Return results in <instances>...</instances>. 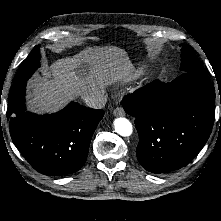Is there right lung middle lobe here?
I'll return each instance as SVG.
<instances>
[{
  "instance_id": "obj_1",
  "label": "right lung middle lobe",
  "mask_w": 221,
  "mask_h": 221,
  "mask_svg": "<svg viewBox=\"0 0 221 221\" xmlns=\"http://www.w3.org/2000/svg\"><path fill=\"white\" fill-rule=\"evenodd\" d=\"M40 45L34 47L29 56L22 62L14 79V84L27 81L40 65Z\"/></svg>"
}]
</instances>
